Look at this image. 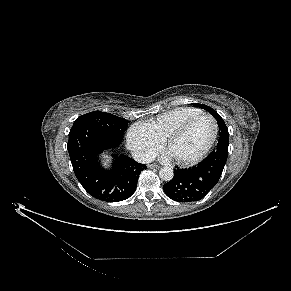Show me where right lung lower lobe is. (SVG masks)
<instances>
[{
    "mask_svg": "<svg viewBox=\"0 0 291 291\" xmlns=\"http://www.w3.org/2000/svg\"><path fill=\"white\" fill-rule=\"evenodd\" d=\"M120 143L92 126L70 130L67 146L74 173L84 189L97 199L118 202L129 198L136 190L140 172L147 168L126 155L113 154L112 167L105 170L99 154Z\"/></svg>",
    "mask_w": 291,
    "mask_h": 291,
    "instance_id": "1",
    "label": "right lung lower lobe"
}]
</instances>
